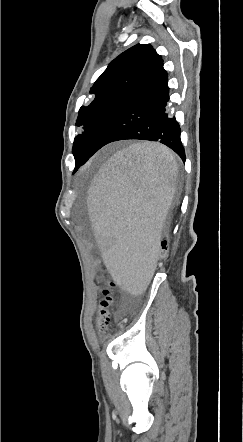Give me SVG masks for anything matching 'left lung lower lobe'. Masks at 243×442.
<instances>
[{"label": "left lung lower lobe", "instance_id": "obj_1", "mask_svg": "<svg viewBox=\"0 0 243 442\" xmlns=\"http://www.w3.org/2000/svg\"><path fill=\"white\" fill-rule=\"evenodd\" d=\"M167 80L161 59L148 76L115 106L91 142L83 163L104 145L126 139L159 141L185 162L179 124L167 113Z\"/></svg>", "mask_w": 243, "mask_h": 442}]
</instances>
